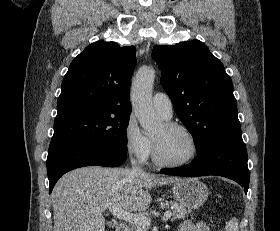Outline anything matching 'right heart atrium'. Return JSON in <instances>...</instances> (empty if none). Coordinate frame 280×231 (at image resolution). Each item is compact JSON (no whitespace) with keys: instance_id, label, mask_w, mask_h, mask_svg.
I'll list each match as a JSON object with an SVG mask.
<instances>
[{"instance_id":"1","label":"right heart atrium","mask_w":280,"mask_h":231,"mask_svg":"<svg viewBox=\"0 0 280 231\" xmlns=\"http://www.w3.org/2000/svg\"><path fill=\"white\" fill-rule=\"evenodd\" d=\"M123 137L125 149L129 154L135 156L140 161H145L150 157L153 151L152 142L139 129L134 118H128L124 127Z\"/></svg>"}]
</instances>
